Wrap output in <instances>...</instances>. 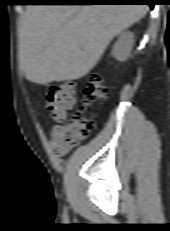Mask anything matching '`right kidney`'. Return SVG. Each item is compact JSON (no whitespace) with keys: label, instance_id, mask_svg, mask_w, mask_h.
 I'll return each instance as SVG.
<instances>
[{"label":"right kidney","instance_id":"right-kidney-1","mask_svg":"<svg viewBox=\"0 0 170 231\" xmlns=\"http://www.w3.org/2000/svg\"><path fill=\"white\" fill-rule=\"evenodd\" d=\"M134 45V34L132 32H124L115 43L111 54L118 61H125L132 50Z\"/></svg>","mask_w":170,"mask_h":231}]
</instances>
